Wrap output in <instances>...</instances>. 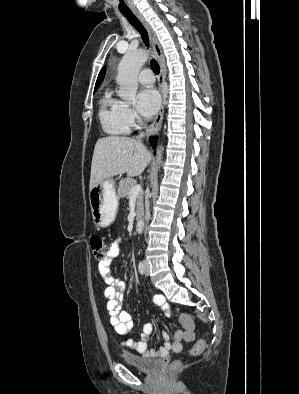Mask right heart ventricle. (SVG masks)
I'll return each mask as SVG.
<instances>
[{
    "label": "right heart ventricle",
    "mask_w": 299,
    "mask_h": 394,
    "mask_svg": "<svg viewBox=\"0 0 299 394\" xmlns=\"http://www.w3.org/2000/svg\"><path fill=\"white\" fill-rule=\"evenodd\" d=\"M125 105L111 91L105 92L99 109V119L103 130L109 135H124L129 132V126L124 118Z\"/></svg>",
    "instance_id": "e07e8e85"
}]
</instances>
